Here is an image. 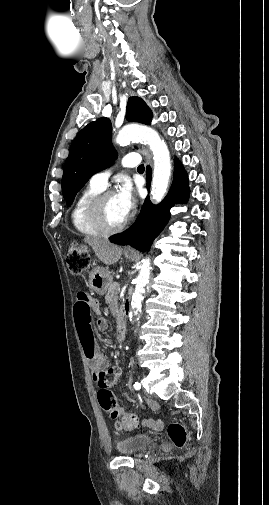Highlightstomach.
<instances>
[{
    "label": "stomach",
    "mask_w": 269,
    "mask_h": 505,
    "mask_svg": "<svg viewBox=\"0 0 269 505\" xmlns=\"http://www.w3.org/2000/svg\"><path fill=\"white\" fill-rule=\"evenodd\" d=\"M125 257L129 260H134L135 258L134 255L131 254H125ZM112 282L113 278L108 268L97 266L89 273V287L98 294H105Z\"/></svg>",
    "instance_id": "stomach-1"
}]
</instances>
